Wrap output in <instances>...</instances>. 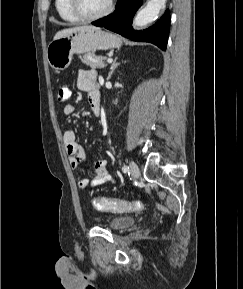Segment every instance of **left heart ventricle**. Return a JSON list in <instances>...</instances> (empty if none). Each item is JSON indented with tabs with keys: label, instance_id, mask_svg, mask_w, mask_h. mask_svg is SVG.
Segmentation results:
<instances>
[{
	"label": "left heart ventricle",
	"instance_id": "b2bd125f",
	"mask_svg": "<svg viewBox=\"0 0 243 289\" xmlns=\"http://www.w3.org/2000/svg\"><path fill=\"white\" fill-rule=\"evenodd\" d=\"M109 0H79L81 11L87 15H95L102 12Z\"/></svg>",
	"mask_w": 243,
	"mask_h": 289
}]
</instances>
